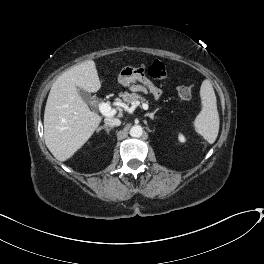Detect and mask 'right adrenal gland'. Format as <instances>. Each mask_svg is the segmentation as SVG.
<instances>
[{"label": "right adrenal gland", "instance_id": "obj_1", "mask_svg": "<svg viewBox=\"0 0 264 264\" xmlns=\"http://www.w3.org/2000/svg\"><path fill=\"white\" fill-rule=\"evenodd\" d=\"M102 129L106 130V132L109 134V132H110V130H111L112 128H111V127H108L107 125H104V126L98 128V131H100V130H102Z\"/></svg>", "mask_w": 264, "mask_h": 264}]
</instances>
